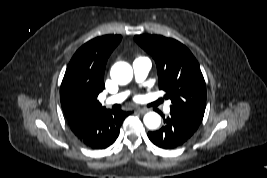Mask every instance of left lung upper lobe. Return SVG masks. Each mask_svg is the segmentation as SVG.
Wrapping results in <instances>:
<instances>
[{"instance_id": "left-lung-upper-lobe-1", "label": "left lung upper lobe", "mask_w": 267, "mask_h": 178, "mask_svg": "<svg viewBox=\"0 0 267 178\" xmlns=\"http://www.w3.org/2000/svg\"><path fill=\"white\" fill-rule=\"evenodd\" d=\"M134 39L154 58L159 89L171 100V113L198 129L206 108V85L193 54L172 38L136 35Z\"/></svg>"}]
</instances>
